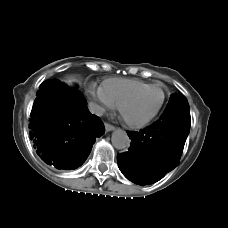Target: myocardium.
<instances>
[{"instance_id": "myocardium-1", "label": "myocardium", "mask_w": 228, "mask_h": 228, "mask_svg": "<svg viewBox=\"0 0 228 228\" xmlns=\"http://www.w3.org/2000/svg\"><path fill=\"white\" fill-rule=\"evenodd\" d=\"M152 89L159 90L162 94L161 101H160L159 105L157 106V108L154 110V112L140 121H132V120H129L128 118H126L123 113L124 106L128 102H130L132 99H134L135 97L139 96L140 94H142L148 90H152ZM164 101H165V93L162 90V88H160L159 86H156V85H150L148 87L137 90V91L127 95L126 97H124L118 104V110H119L120 114L122 115L123 119L125 120V122L129 126L134 127V128H140V127L147 125L149 122H151L156 117V115L159 113L160 109L162 108Z\"/></svg>"}]
</instances>
